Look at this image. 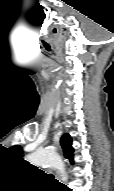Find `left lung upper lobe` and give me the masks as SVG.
Returning <instances> with one entry per match:
<instances>
[{
    "mask_svg": "<svg viewBox=\"0 0 114 191\" xmlns=\"http://www.w3.org/2000/svg\"><path fill=\"white\" fill-rule=\"evenodd\" d=\"M71 144H72L71 137L68 134H64L61 138V145L63 148L64 156L70 159L71 163H73V158H72L73 148ZM10 149L14 154H16L20 158L23 155L22 148L19 145H15Z\"/></svg>",
    "mask_w": 114,
    "mask_h": 191,
    "instance_id": "5c2ea615",
    "label": "left lung upper lobe"
}]
</instances>
